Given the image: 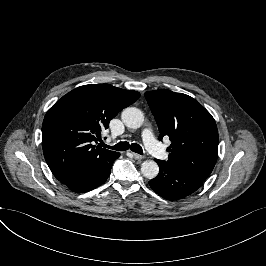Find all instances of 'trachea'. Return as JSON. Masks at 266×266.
I'll return each mask as SVG.
<instances>
[{
	"mask_svg": "<svg viewBox=\"0 0 266 266\" xmlns=\"http://www.w3.org/2000/svg\"><path fill=\"white\" fill-rule=\"evenodd\" d=\"M107 148H110L112 150H117V151H126L129 148H131L133 152L138 153V154H143V150L141 146L136 143L129 144L127 142H119L115 146H112V147L107 146Z\"/></svg>",
	"mask_w": 266,
	"mask_h": 266,
	"instance_id": "1",
	"label": "trachea"
}]
</instances>
